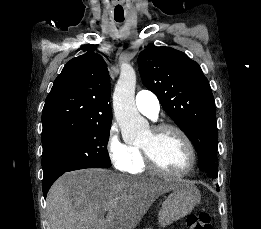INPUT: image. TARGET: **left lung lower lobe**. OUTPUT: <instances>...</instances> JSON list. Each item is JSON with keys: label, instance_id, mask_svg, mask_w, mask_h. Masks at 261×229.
I'll use <instances>...</instances> for the list:
<instances>
[{"label": "left lung lower lobe", "instance_id": "obj_1", "mask_svg": "<svg viewBox=\"0 0 261 229\" xmlns=\"http://www.w3.org/2000/svg\"><path fill=\"white\" fill-rule=\"evenodd\" d=\"M205 174H207L211 178L217 177V168L215 163L211 164L206 170L203 171Z\"/></svg>", "mask_w": 261, "mask_h": 229}]
</instances>
